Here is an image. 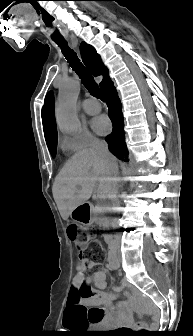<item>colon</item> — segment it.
<instances>
[{"mask_svg":"<svg viewBox=\"0 0 193 336\" xmlns=\"http://www.w3.org/2000/svg\"><path fill=\"white\" fill-rule=\"evenodd\" d=\"M68 238L77 246L79 257L84 261H95L102 256V249L99 242L90 239L87 242L80 239V228L76 224H68L66 228ZM93 294L92 289L87 288L82 291L83 297H90ZM147 331H138L137 336H149Z\"/></svg>","mask_w":193,"mask_h":336,"instance_id":"obj_1","label":"colon"}]
</instances>
